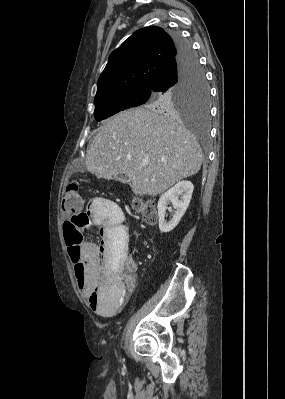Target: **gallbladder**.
Instances as JSON below:
<instances>
[{"label": "gallbladder", "mask_w": 285, "mask_h": 399, "mask_svg": "<svg viewBox=\"0 0 285 399\" xmlns=\"http://www.w3.org/2000/svg\"><path fill=\"white\" fill-rule=\"evenodd\" d=\"M112 179L120 181V182H124V183L128 182L127 176L123 173H118V174L114 175V177Z\"/></svg>", "instance_id": "1"}]
</instances>
